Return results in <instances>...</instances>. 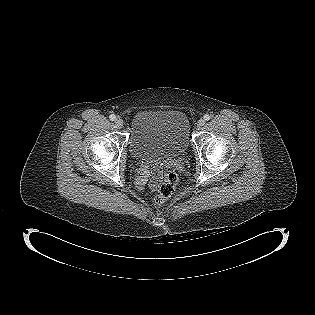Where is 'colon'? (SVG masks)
Listing matches in <instances>:
<instances>
[{"instance_id":"colon-1","label":"colon","mask_w":315,"mask_h":315,"mask_svg":"<svg viewBox=\"0 0 315 315\" xmlns=\"http://www.w3.org/2000/svg\"><path fill=\"white\" fill-rule=\"evenodd\" d=\"M159 174L162 176V181L158 187L156 202L162 204L173 196L177 185V175L173 171Z\"/></svg>"}]
</instances>
